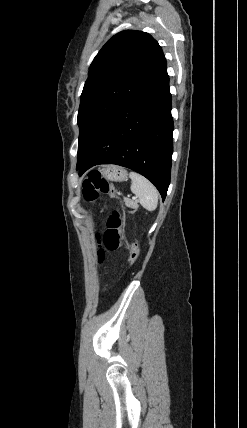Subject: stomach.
I'll use <instances>...</instances> for the list:
<instances>
[{
	"label": "stomach",
	"mask_w": 247,
	"mask_h": 428,
	"mask_svg": "<svg viewBox=\"0 0 247 428\" xmlns=\"http://www.w3.org/2000/svg\"><path fill=\"white\" fill-rule=\"evenodd\" d=\"M102 175L104 178L110 181H124L127 178V172L124 168L116 165H110L107 166L103 172Z\"/></svg>",
	"instance_id": "1"
}]
</instances>
